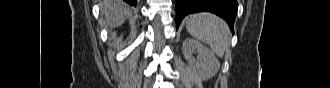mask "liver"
<instances>
[{"mask_svg":"<svg viewBox=\"0 0 330 88\" xmlns=\"http://www.w3.org/2000/svg\"><path fill=\"white\" fill-rule=\"evenodd\" d=\"M130 7L121 0H103L101 14L105 17L107 26L118 27L130 15Z\"/></svg>","mask_w":330,"mask_h":88,"instance_id":"liver-1","label":"liver"}]
</instances>
